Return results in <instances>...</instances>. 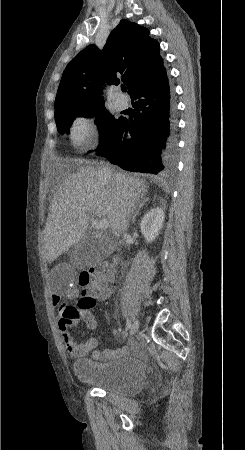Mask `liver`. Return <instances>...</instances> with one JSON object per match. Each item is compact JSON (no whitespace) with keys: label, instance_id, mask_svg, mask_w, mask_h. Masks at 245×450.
Wrapping results in <instances>:
<instances>
[{"label":"liver","instance_id":"liver-1","mask_svg":"<svg viewBox=\"0 0 245 450\" xmlns=\"http://www.w3.org/2000/svg\"><path fill=\"white\" fill-rule=\"evenodd\" d=\"M147 192V183L121 172L110 178L86 166L68 174L57 189L44 228L43 246L49 263L84 240L89 215L107 219L120 237L129 226L135 204Z\"/></svg>","mask_w":245,"mask_h":450}]
</instances>
